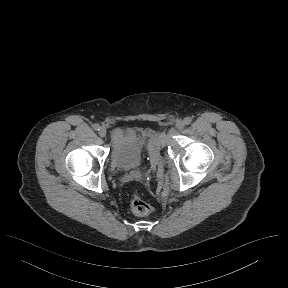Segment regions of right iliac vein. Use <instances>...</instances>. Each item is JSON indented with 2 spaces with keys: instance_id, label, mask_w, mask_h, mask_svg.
<instances>
[{
  "instance_id": "63e3f726",
  "label": "right iliac vein",
  "mask_w": 288,
  "mask_h": 288,
  "mask_svg": "<svg viewBox=\"0 0 288 288\" xmlns=\"http://www.w3.org/2000/svg\"><path fill=\"white\" fill-rule=\"evenodd\" d=\"M106 134H107L106 128H105V127H101L100 130H99V135H100L101 137H105Z\"/></svg>"
}]
</instances>
